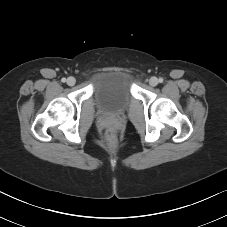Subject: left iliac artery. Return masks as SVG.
I'll return each instance as SVG.
<instances>
[{
    "mask_svg": "<svg viewBox=\"0 0 227 227\" xmlns=\"http://www.w3.org/2000/svg\"><path fill=\"white\" fill-rule=\"evenodd\" d=\"M158 81H159L160 83H162V82H163V78H159Z\"/></svg>",
    "mask_w": 227,
    "mask_h": 227,
    "instance_id": "44dca946",
    "label": "left iliac artery"
}]
</instances>
